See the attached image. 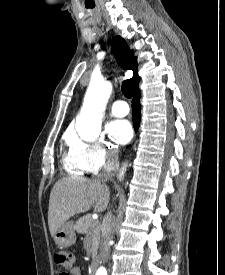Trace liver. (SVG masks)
Returning a JSON list of instances; mask_svg holds the SVG:
<instances>
[{
	"label": "liver",
	"mask_w": 225,
	"mask_h": 275,
	"mask_svg": "<svg viewBox=\"0 0 225 275\" xmlns=\"http://www.w3.org/2000/svg\"><path fill=\"white\" fill-rule=\"evenodd\" d=\"M109 198V188L99 178H61L50 193L48 225L51 236L54 237L55 232L72 216L87 212L94 205L95 211H104Z\"/></svg>",
	"instance_id": "6515ba94"
}]
</instances>
